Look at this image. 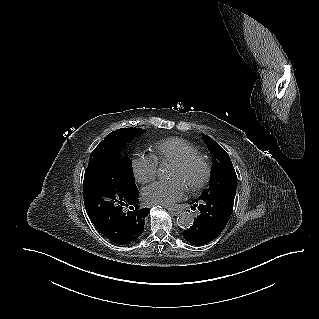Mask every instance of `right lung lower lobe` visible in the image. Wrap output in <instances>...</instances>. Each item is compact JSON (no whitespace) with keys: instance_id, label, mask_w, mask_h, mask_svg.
Segmentation results:
<instances>
[{"instance_id":"1","label":"right lung lower lobe","mask_w":319,"mask_h":319,"mask_svg":"<svg viewBox=\"0 0 319 319\" xmlns=\"http://www.w3.org/2000/svg\"><path fill=\"white\" fill-rule=\"evenodd\" d=\"M83 193L91 222L107 239L124 245L143 233L150 209L139 206V190L128 183L120 160L89 163Z\"/></svg>"}]
</instances>
